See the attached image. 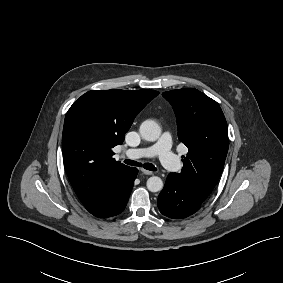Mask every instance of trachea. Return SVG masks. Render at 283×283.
Returning a JSON list of instances; mask_svg holds the SVG:
<instances>
[{
    "mask_svg": "<svg viewBox=\"0 0 283 283\" xmlns=\"http://www.w3.org/2000/svg\"><path fill=\"white\" fill-rule=\"evenodd\" d=\"M124 163L127 165H131V166H139V167L143 166L145 169L150 170V171L157 170V168L153 164H150V163H145L142 165V163H139L133 160H128V159L124 160Z\"/></svg>",
    "mask_w": 283,
    "mask_h": 283,
    "instance_id": "obj_1",
    "label": "trachea"
}]
</instances>
